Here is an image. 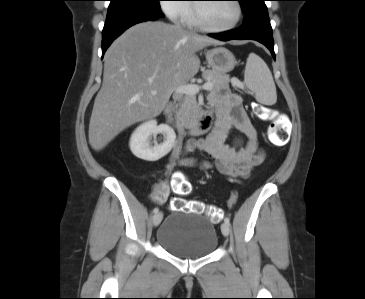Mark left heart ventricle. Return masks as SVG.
Returning <instances> with one entry per match:
<instances>
[{
    "label": "left heart ventricle",
    "mask_w": 365,
    "mask_h": 299,
    "mask_svg": "<svg viewBox=\"0 0 365 299\" xmlns=\"http://www.w3.org/2000/svg\"><path fill=\"white\" fill-rule=\"evenodd\" d=\"M199 3L204 21L213 27H226L231 25L237 16L235 3Z\"/></svg>",
    "instance_id": "1"
}]
</instances>
